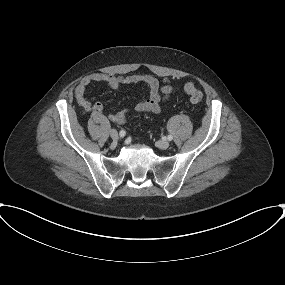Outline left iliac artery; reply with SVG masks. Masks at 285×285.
<instances>
[{"mask_svg":"<svg viewBox=\"0 0 285 285\" xmlns=\"http://www.w3.org/2000/svg\"><path fill=\"white\" fill-rule=\"evenodd\" d=\"M167 139H168L169 141H171V140L173 139V136H172V135H168Z\"/></svg>","mask_w":285,"mask_h":285,"instance_id":"1","label":"left iliac artery"}]
</instances>
